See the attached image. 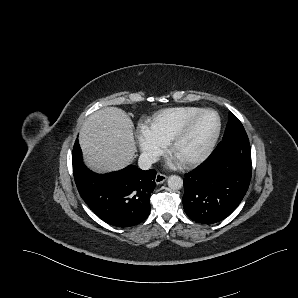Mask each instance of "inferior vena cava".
Wrapping results in <instances>:
<instances>
[{"label":"inferior vena cava","mask_w":298,"mask_h":298,"mask_svg":"<svg viewBox=\"0 0 298 298\" xmlns=\"http://www.w3.org/2000/svg\"><path fill=\"white\" fill-rule=\"evenodd\" d=\"M159 160L158 156L154 153L143 152L140 154L138 159V166L142 170H149L152 164L156 163Z\"/></svg>","instance_id":"obj_1"}]
</instances>
